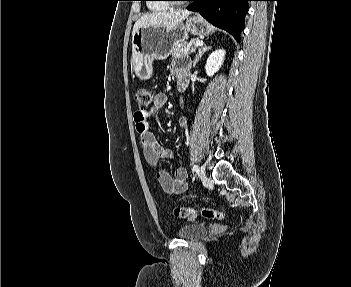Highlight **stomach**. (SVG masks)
Here are the masks:
<instances>
[{"label": "stomach", "mask_w": 351, "mask_h": 287, "mask_svg": "<svg viewBox=\"0 0 351 287\" xmlns=\"http://www.w3.org/2000/svg\"><path fill=\"white\" fill-rule=\"evenodd\" d=\"M210 27L198 16L189 17L185 24L173 27H142L132 37L131 68L140 79L152 74L154 60H164L171 55L176 43L184 41L188 34L206 35Z\"/></svg>", "instance_id": "obj_1"}]
</instances>
